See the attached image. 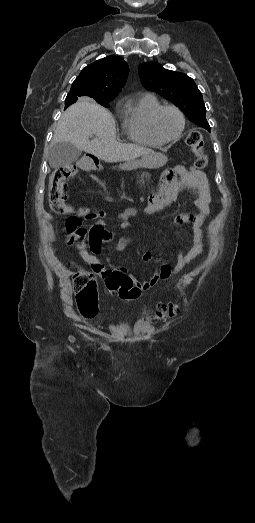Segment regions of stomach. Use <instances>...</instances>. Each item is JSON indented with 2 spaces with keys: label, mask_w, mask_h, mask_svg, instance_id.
Masks as SVG:
<instances>
[{
  "label": "stomach",
  "mask_w": 255,
  "mask_h": 523,
  "mask_svg": "<svg viewBox=\"0 0 255 523\" xmlns=\"http://www.w3.org/2000/svg\"><path fill=\"white\" fill-rule=\"evenodd\" d=\"M167 164L166 154L160 151H146L141 160H130L124 164V170H136V168L165 167Z\"/></svg>",
  "instance_id": "stomach-1"
}]
</instances>
